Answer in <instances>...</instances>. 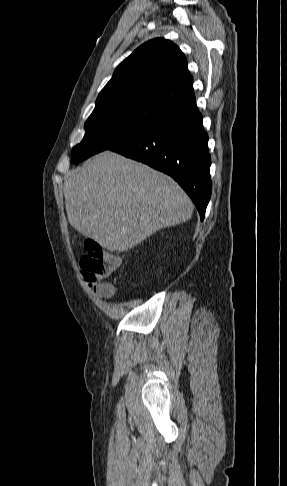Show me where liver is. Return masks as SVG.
Instances as JSON below:
<instances>
[{
	"label": "liver",
	"mask_w": 287,
	"mask_h": 486,
	"mask_svg": "<svg viewBox=\"0 0 287 486\" xmlns=\"http://www.w3.org/2000/svg\"><path fill=\"white\" fill-rule=\"evenodd\" d=\"M64 197L70 225L111 252L188 221L194 209L171 177L111 151L69 172Z\"/></svg>",
	"instance_id": "obj_1"
}]
</instances>
